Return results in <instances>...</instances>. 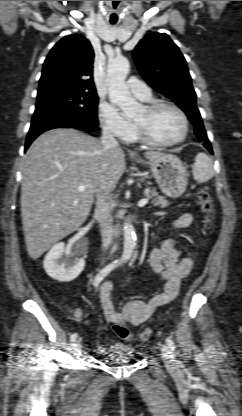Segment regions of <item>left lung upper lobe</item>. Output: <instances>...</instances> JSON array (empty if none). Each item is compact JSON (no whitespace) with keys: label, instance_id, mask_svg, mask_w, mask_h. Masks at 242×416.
Here are the masks:
<instances>
[{"label":"left lung upper lobe","instance_id":"obj_1","mask_svg":"<svg viewBox=\"0 0 242 416\" xmlns=\"http://www.w3.org/2000/svg\"><path fill=\"white\" fill-rule=\"evenodd\" d=\"M133 58L144 80L173 100L192 121L196 136L208 141L185 58L169 36L146 35L135 47Z\"/></svg>","mask_w":242,"mask_h":416}]
</instances>
